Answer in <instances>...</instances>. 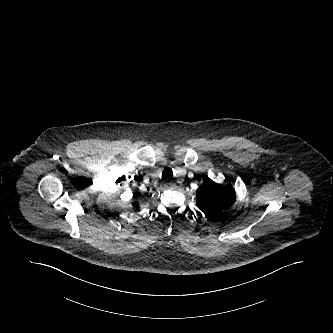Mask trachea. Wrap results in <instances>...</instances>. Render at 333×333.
I'll return each instance as SVG.
<instances>
[{"mask_svg":"<svg viewBox=\"0 0 333 333\" xmlns=\"http://www.w3.org/2000/svg\"><path fill=\"white\" fill-rule=\"evenodd\" d=\"M173 178V171L171 168L167 167L162 172V179H171Z\"/></svg>","mask_w":333,"mask_h":333,"instance_id":"3493384b","label":"trachea"}]
</instances>
